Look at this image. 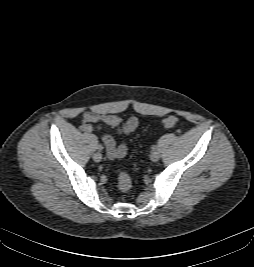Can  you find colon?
Instances as JSON below:
<instances>
[{
    "label": "colon",
    "instance_id": "1",
    "mask_svg": "<svg viewBox=\"0 0 254 267\" xmlns=\"http://www.w3.org/2000/svg\"><path fill=\"white\" fill-rule=\"evenodd\" d=\"M178 122L177 117L175 116H168L163 120V126L165 128H172ZM118 187L122 192L130 191L132 187V180L128 173L121 172L118 176Z\"/></svg>",
    "mask_w": 254,
    "mask_h": 267
}]
</instances>
